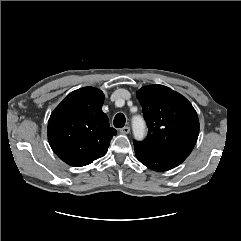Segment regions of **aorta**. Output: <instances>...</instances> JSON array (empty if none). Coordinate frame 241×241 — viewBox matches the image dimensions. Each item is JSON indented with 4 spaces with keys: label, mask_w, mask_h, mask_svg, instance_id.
I'll list each match as a JSON object with an SVG mask.
<instances>
[{
    "label": "aorta",
    "mask_w": 241,
    "mask_h": 241,
    "mask_svg": "<svg viewBox=\"0 0 241 241\" xmlns=\"http://www.w3.org/2000/svg\"><path fill=\"white\" fill-rule=\"evenodd\" d=\"M132 128H133L134 137L138 140H142L146 132V125L142 117L136 116L133 118Z\"/></svg>",
    "instance_id": "aorta-1"
}]
</instances>
